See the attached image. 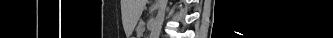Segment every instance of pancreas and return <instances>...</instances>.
<instances>
[{
	"label": "pancreas",
	"instance_id": "1",
	"mask_svg": "<svg viewBox=\"0 0 333 38\" xmlns=\"http://www.w3.org/2000/svg\"><path fill=\"white\" fill-rule=\"evenodd\" d=\"M139 32H140V34L143 33V25H140V26H139Z\"/></svg>",
	"mask_w": 333,
	"mask_h": 38
}]
</instances>
